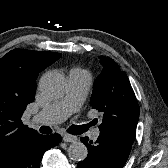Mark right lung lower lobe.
Listing matches in <instances>:
<instances>
[{"label": "right lung lower lobe", "instance_id": "1", "mask_svg": "<svg viewBox=\"0 0 168 168\" xmlns=\"http://www.w3.org/2000/svg\"><path fill=\"white\" fill-rule=\"evenodd\" d=\"M61 136L33 134L18 142L0 168H39L44 152L57 146Z\"/></svg>", "mask_w": 168, "mask_h": 168}]
</instances>
